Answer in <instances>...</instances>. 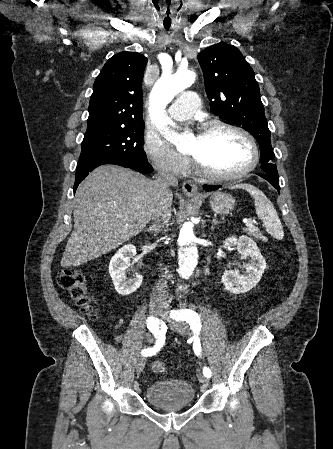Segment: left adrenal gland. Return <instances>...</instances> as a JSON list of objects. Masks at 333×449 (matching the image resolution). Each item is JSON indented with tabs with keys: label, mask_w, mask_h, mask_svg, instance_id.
Here are the masks:
<instances>
[{
	"label": "left adrenal gland",
	"mask_w": 333,
	"mask_h": 449,
	"mask_svg": "<svg viewBox=\"0 0 333 449\" xmlns=\"http://www.w3.org/2000/svg\"><path fill=\"white\" fill-rule=\"evenodd\" d=\"M218 223H219V221L217 220L216 215H214V218H213V221H212L211 229L214 230L215 225L218 224Z\"/></svg>",
	"instance_id": "a2214340"
}]
</instances>
